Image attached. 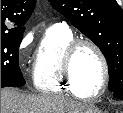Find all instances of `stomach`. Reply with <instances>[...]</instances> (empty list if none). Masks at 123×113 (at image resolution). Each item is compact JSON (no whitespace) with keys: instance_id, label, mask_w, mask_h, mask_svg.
<instances>
[{"instance_id":"obj_1","label":"stomach","mask_w":123,"mask_h":113,"mask_svg":"<svg viewBox=\"0 0 123 113\" xmlns=\"http://www.w3.org/2000/svg\"><path fill=\"white\" fill-rule=\"evenodd\" d=\"M74 113H101L97 108L88 107L85 109H80Z\"/></svg>"}]
</instances>
